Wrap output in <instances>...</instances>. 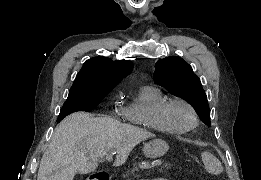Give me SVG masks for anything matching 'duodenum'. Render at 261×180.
Instances as JSON below:
<instances>
[{"label": "duodenum", "mask_w": 261, "mask_h": 180, "mask_svg": "<svg viewBox=\"0 0 261 180\" xmlns=\"http://www.w3.org/2000/svg\"><path fill=\"white\" fill-rule=\"evenodd\" d=\"M88 180H110L107 173H92Z\"/></svg>", "instance_id": "obj_1"}]
</instances>
